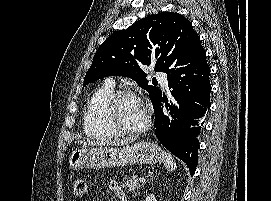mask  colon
<instances>
[{
    "label": "colon",
    "mask_w": 271,
    "mask_h": 201,
    "mask_svg": "<svg viewBox=\"0 0 271 201\" xmlns=\"http://www.w3.org/2000/svg\"><path fill=\"white\" fill-rule=\"evenodd\" d=\"M87 192V185L84 180H76L73 187L75 199L82 200Z\"/></svg>",
    "instance_id": "1"
}]
</instances>
